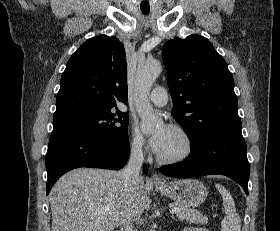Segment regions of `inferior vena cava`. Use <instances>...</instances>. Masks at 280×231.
I'll return each instance as SVG.
<instances>
[{"label":"inferior vena cava","mask_w":280,"mask_h":231,"mask_svg":"<svg viewBox=\"0 0 280 231\" xmlns=\"http://www.w3.org/2000/svg\"><path fill=\"white\" fill-rule=\"evenodd\" d=\"M143 159L142 143L140 141H134L132 143L129 161L121 171L126 183H130L133 177L139 179V171L142 167ZM121 231H136V229L131 225V221H123Z\"/></svg>","instance_id":"inferior-vena-cava-1"}]
</instances>
